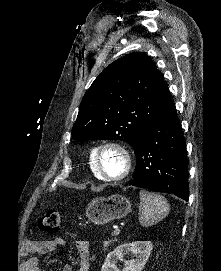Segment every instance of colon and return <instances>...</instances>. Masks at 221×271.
<instances>
[{"label": "colon", "mask_w": 221, "mask_h": 271, "mask_svg": "<svg viewBox=\"0 0 221 271\" xmlns=\"http://www.w3.org/2000/svg\"><path fill=\"white\" fill-rule=\"evenodd\" d=\"M60 226V215L57 211H50L41 216L38 222V228L50 234L58 231Z\"/></svg>", "instance_id": "5ec220e1"}]
</instances>
